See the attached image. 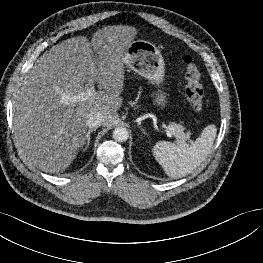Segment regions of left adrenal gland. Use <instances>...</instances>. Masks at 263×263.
Instances as JSON below:
<instances>
[{"label":"left adrenal gland","instance_id":"a2214340","mask_svg":"<svg viewBox=\"0 0 263 263\" xmlns=\"http://www.w3.org/2000/svg\"><path fill=\"white\" fill-rule=\"evenodd\" d=\"M139 128L141 129V131H142L143 134H145V135L148 136V134L144 131V129H143L141 126H139Z\"/></svg>","mask_w":263,"mask_h":263}]
</instances>
